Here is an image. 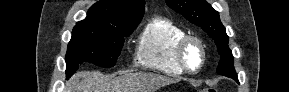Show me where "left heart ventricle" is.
Segmentation results:
<instances>
[{
	"instance_id": "left-heart-ventricle-1",
	"label": "left heart ventricle",
	"mask_w": 289,
	"mask_h": 92,
	"mask_svg": "<svg viewBox=\"0 0 289 92\" xmlns=\"http://www.w3.org/2000/svg\"><path fill=\"white\" fill-rule=\"evenodd\" d=\"M201 60V52L196 44H191L186 51V62L192 69L196 68Z\"/></svg>"
}]
</instances>
